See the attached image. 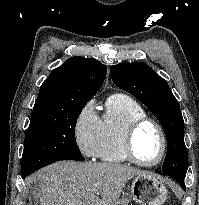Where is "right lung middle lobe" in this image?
<instances>
[{
	"label": "right lung middle lobe",
	"mask_w": 199,
	"mask_h": 205,
	"mask_svg": "<svg viewBox=\"0 0 199 205\" xmlns=\"http://www.w3.org/2000/svg\"><path fill=\"white\" fill-rule=\"evenodd\" d=\"M87 101L54 105L32 112L25 136L21 176L59 160L84 161L74 130Z\"/></svg>",
	"instance_id": "right-lung-middle-lobe-1"
}]
</instances>
